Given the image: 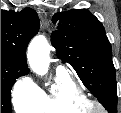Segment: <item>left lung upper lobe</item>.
<instances>
[{"label": "left lung upper lobe", "instance_id": "obj_1", "mask_svg": "<svg viewBox=\"0 0 121 113\" xmlns=\"http://www.w3.org/2000/svg\"><path fill=\"white\" fill-rule=\"evenodd\" d=\"M51 42L109 113L117 112L116 72L111 45L101 22L86 9L57 13Z\"/></svg>", "mask_w": 121, "mask_h": 113}]
</instances>
